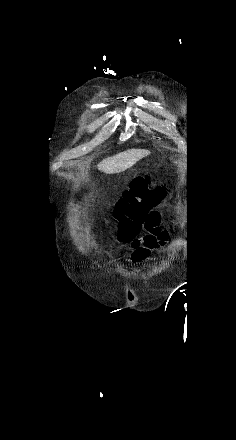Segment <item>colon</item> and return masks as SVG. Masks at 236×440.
Here are the masks:
<instances>
[{
	"instance_id": "obj_1",
	"label": "colon",
	"mask_w": 236,
	"mask_h": 440,
	"mask_svg": "<svg viewBox=\"0 0 236 440\" xmlns=\"http://www.w3.org/2000/svg\"><path fill=\"white\" fill-rule=\"evenodd\" d=\"M153 174L136 177L128 190L118 201L114 212L119 227V236L123 241H129L139 231L147 213L154 208L165 194L161 186L151 187Z\"/></svg>"
}]
</instances>
